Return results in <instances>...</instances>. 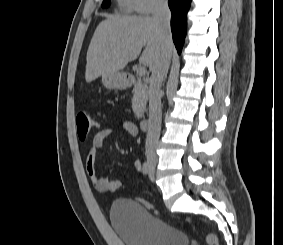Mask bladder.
I'll return each instance as SVG.
<instances>
[{
  "label": "bladder",
  "instance_id": "1",
  "mask_svg": "<svg viewBox=\"0 0 283 245\" xmlns=\"http://www.w3.org/2000/svg\"><path fill=\"white\" fill-rule=\"evenodd\" d=\"M109 215L114 231L125 245H189L184 232L154 217L135 200H115Z\"/></svg>",
  "mask_w": 283,
  "mask_h": 245
}]
</instances>
